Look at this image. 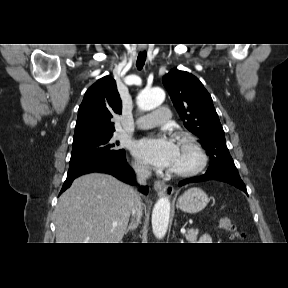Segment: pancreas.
<instances>
[{"label":"pancreas","mask_w":288,"mask_h":288,"mask_svg":"<svg viewBox=\"0 0 288 288\" xmlns=\"http://www.w3.org/2000/svg\"><path fill=\"white\" fill-rule=\"evenodd\" d=\"M198 229H189L185 234V238L189 243H195L197 241Z\"/></svg>","instance_id":"cf45deb5"}]
</instances>
